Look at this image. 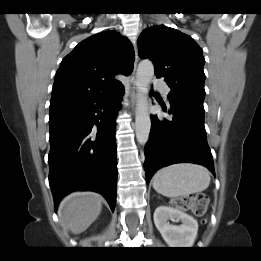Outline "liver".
Wrapping results in <instances>:
<instances>
[{
  "instance_id": "obj_1",
  "label": "liver",
  "mask_w": 261,
  "mask_h": 261,
  "mask_svg": "<svg viewBox=\"0 0 261 261\" xmlns=\"http://www.w3.org/2000/svg\"><path fill=\"white\" fill-rule=\"evenodd\" d=\"M102 197L93 192H76L60 204L59 215L63 226L73 234L84 232L99 216Z\"/></svg>"
}]
</instances>
